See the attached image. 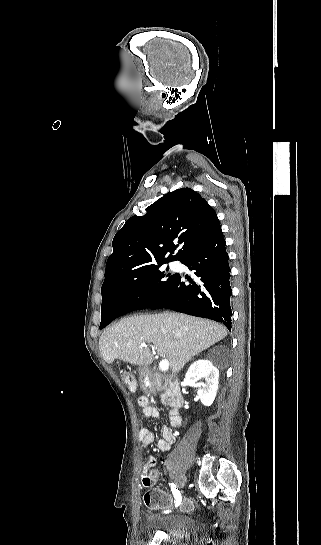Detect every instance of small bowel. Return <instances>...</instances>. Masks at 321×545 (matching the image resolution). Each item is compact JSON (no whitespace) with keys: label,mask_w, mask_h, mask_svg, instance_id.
Listing matches in <instances>:
<instances>
[{"label":"small bowel","mask_w":321,"mask_h":545,"mask_svg":"<svg viewBox=\"0 0 321 545\" xmlns=\"http://www.w3.org/2000/svg\"><path fill=\"white\" fill-rule=\"evenodd\" d=\"M137 404L142 408L146 417L155 418L159 416L157 408L150 405L146 396L141 395L137 399ZM139 439L143 447H147L155 441V433L146 427H142L139 431ZM175 441V431L170 427H164L162 430V438L158 441L157 445L160 451L166 452L171 448V445ZM156 459L152 455H148L146 463L143 467V474L148 475L152 483L157 482L159 479V471L155 468Z\"/></svg>","instance_id":"small-bowel-1"}]
</instances>
